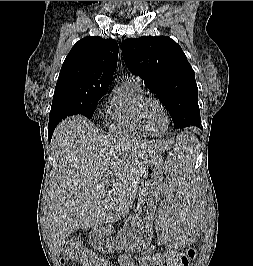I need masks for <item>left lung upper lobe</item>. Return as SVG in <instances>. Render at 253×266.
Instances as JSON below:
<instances>
[{
  "label": "left lung upper lobe",
  "instance_id": "1",
  "mask_svg": "<svg viewBox=\"0 0 253 266\" xmlns=\"http://www.w3.org/2000/svg\"><path fill=\"white\" fill-rule=\"evenodd\" d=\"M121 47L130 72L158 96L174 125L200 127L195 72L181 47L165 36L128 38Z\"/></svg>",
  "mask_w": 253,
  "mask_h": 266
}]
</instances>
